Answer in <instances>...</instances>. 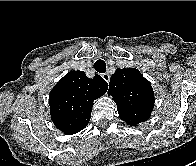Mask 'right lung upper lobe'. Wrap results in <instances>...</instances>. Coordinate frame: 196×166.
<instances>
[{"instance_id":"right-lung-upper-lobe-1","label":"right lung upper lobe","mask_w":196,"mask_h":166,"mask_svg":"<svg viewBox=\"0 0 196 166\" xmlns=\"http://www.w3.org/2000/svg\"><path fill=\"white\" fill-rule=\"evenodd\" d=\"M108 84L100 75L93 79L83 71L68 72L49 95L51 120L64 134L84 129L91 117L93 101L106 93Z\"/></svg>"}]
</instances>
